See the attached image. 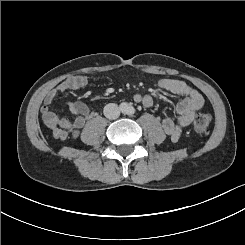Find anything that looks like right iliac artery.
Masks as SVG:
<instances>
[{"instance_id": "82829eb1", "label": "right iliac artery", "mask_w": 245, "mask_h": 245, "mask_svg": "<svg viewBox=\"0 0 245 245\" xmlns=\"http://www.w3.org/2000/svg\"><path fill=\"white\" fill-rule=\"evenodd\" d=\"M125 109H126L125 104H122V105H121V110H125Z\"/></svg>"}]
</instances>
